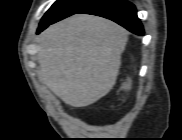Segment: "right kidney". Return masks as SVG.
Segmentation results:
<instances>
[{
	"instance_id": "ca27d5eb",
	"label": "right kidney",
	"mask_w": 182,
	"mask_h": 140,
	"mask_svg": "<svg viewBox=\"0 0 182 140\" xmlns=\"http://www.w3.org/2000/svg\"><path fill=\"white\" fill-rule=\"evenodd\" d=\"M121 89L124 91H128L131 89V80H127L122 86Z\"/></svg>"
}]
</instances>
